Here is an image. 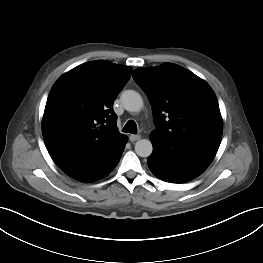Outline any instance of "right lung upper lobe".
Wrapping results in <instances>:
<instances>
[{"label":"right lung upper lobe","mask_w":263,"mask_h":263,"mask_svg":"<svg viewBox=\"0 0 263 263\" xmlns=\"http://www.w3.org/2000/svg\"><path fill=\"white\" fill-rule=\"evenodd\" d=\"M131 73L128 66L97 60L75 67L53 85L42 133L63 171L102 160L121 147L126 137L117 130L113 103Z\"/></svg>","instance_id":"cb5924a9"}]
</instances>
